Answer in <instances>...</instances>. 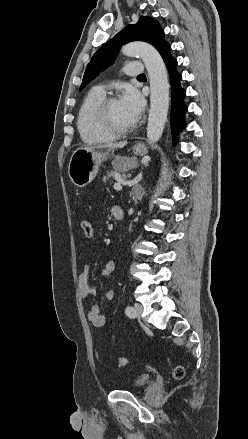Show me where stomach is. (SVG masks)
I'll return each mask as SVG.
<instances>
[{
	"label": "stomach",
	"mask_w": 248,
	"mask_h": 439,
	"mask_svg": "<svg viewBox=\"0 0 248 439\" xmlns=\"http://www.w3.org/2000/svg\"><path fill=\"white\" fill-rule=\"evenodd\" d=\"M133 150L138 156L147 153V148L142 143L135 145ZM110 152V148L75 150L68 166V174L72 183L78 188L87 186L96 177L100 164L110 156Z\"/></svg>",
	"instance_id": "0dacf381"
}]
</instances>
